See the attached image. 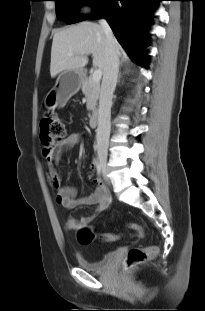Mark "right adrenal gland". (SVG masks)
<instances>
[{
  "label": "right adrenal gland",
  "mask_w": 205,
  "mask_h": 311,
  "mask_svg": "<svg viewBox=\"0 0 205 311\" xmlns=\"http://www.w3.org/2000/svg\"><path fill=\"white\" fill-rule=\"evenodd\" d=\"M124 62V60H122L121 61V64ZM120 79H121V72L119 73V75H118V80H117V83H119L120 82Z\"/></svg>",
  "instance_id": "1"
}]
</instances>
